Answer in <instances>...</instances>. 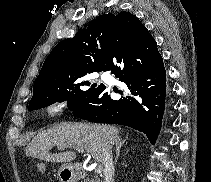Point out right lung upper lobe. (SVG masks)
<instances>
[{
  "mask_svg": "<svg viewBox=\"0 0 211 182\" xmlns=\"http://www.w3.org/2000/svg\"><path fill=\"white\" fill-rule=\"evenodd\" d=\"M148 34L147 28L129 12L100 15L72 39L63 40L54 47L34 82V90L102 71L115 51Z\"/></svg>",
  "mask_w": 211,
  "mask_h": 182,
  "instance_id": "right-lung-upper-lobe-1",
  "label": "right lung upper lobe"
}]
</instances>
